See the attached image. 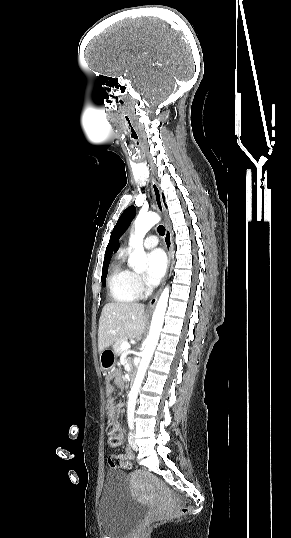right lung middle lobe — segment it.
Here are the masks:
<instances>
[{
  "instance_id": "dd1d6c3e",
  "label": "right lung middle lobe",
  "mask_w": 291,
  "mask_h": 538,
  "mask_svg": "<svg viewBox=\"0 0 291 538\" xmlns=\"http://www.w3.org/2000/svg\"><path fill=\"white\" fill-rule=\"evenodd\" d=\"M108 264H109V261H106L103 263V269H102V284L105 286L106 284V276H107V271H108Z\"/></svg>"
}]
</instances>
